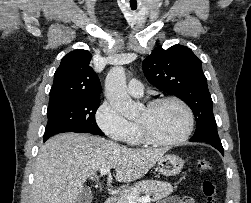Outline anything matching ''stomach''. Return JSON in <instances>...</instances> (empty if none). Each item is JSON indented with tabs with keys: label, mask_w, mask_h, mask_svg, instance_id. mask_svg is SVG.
Listing matches in <instances>:
<instances>
[{
	"label": "stomach",
	"mask_w": 251,
	"mask_h": 203,
	"mask_svg": "<svg viewBox=\"0 0 251 203\" xmlns=\"http://www.w3.org/2000/svg\"><path fill=\"white\" fill-rule=\"evenodd\" d=\"M184 161L177 155L167 154L162 156L157 162V169L164 176H175L183 168Z\"/></svg>",
	"instance_id": "obj_1"
}]
</instances>
